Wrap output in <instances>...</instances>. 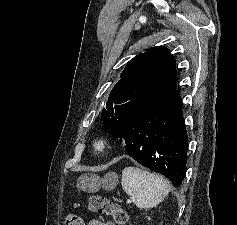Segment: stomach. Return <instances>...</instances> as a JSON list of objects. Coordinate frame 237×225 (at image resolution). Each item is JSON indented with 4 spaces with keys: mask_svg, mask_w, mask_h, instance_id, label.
Instances as JSON below:
<instances>
[{
    "mask_svg": "<svg viewBox=\"0 0 237 225\" xmlns=\"http://www.w3.org/2000/svg\"><path fill=\"white\" fill-rule=\"evenodd\" d=\"M119 183L118 175L115 172L107 173L103 178L96 174H83L77 180V188L88 193H95L103 188L112 191Z\"/></svg>",
    "mask_w": 237,
    "mask_h": 225,
    "instance_id": "1",
    "label": "stomach"
}]
</instances>
